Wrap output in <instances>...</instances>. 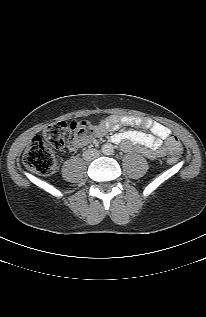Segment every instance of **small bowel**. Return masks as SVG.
<instances>
[{"instance_id":"small-bowel-1","label":"small bowel","mask_w":206,"mask_h":317,"mask_svg":"<svg viewBox=\"0 0 206 317\" xmlns=\"http://www.w3.org/2000/svg\"><path fill=\"white\" fill-rule=\"evenodd\" d=\"M123 125L139 126L149 129L151 133L139 130L123 131L114 134L111 137L112 142L119 144L126 151L131 150L133 145H137L138 152L149 159H158L166 154L167 150L163 141L170 137L171 131L165 125L148 117L110 115L98 125L96 135L101 136L107 130L114 131ZM86 142L73 143L71 148L78 149Z\"/></svg>"}]
</instances>
